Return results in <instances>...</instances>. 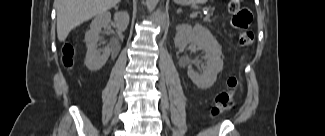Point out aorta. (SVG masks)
<instances>
[{
  "mask_svg": "<svg viewBox=\"0 0 325 136\" xmlns=\"http://www.w3.org/2000/svg\"><path fill=\"white\" fill-rule=\"evenodd\" d=\"M158 3V0H146V6L149 11H153Z\"/></svg>",
  "mask_w": 325,
  "mask_h": 136,
  "instance_id": "obj_1",
  "label": "aorta"
}]
</instances>
